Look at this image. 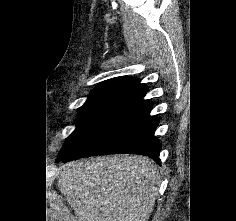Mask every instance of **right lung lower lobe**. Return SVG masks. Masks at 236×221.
Returning <instances> with one entry per match:
<instances>
[{
    "label": "right lung lower lobe",
    "mask_w": 236,
    "mask_h": 221,
    "mask_svg": "<svg viewBox=\"0 0 236 221\" xmlns=\"http://www.w3.org/2000/svg\"><path fill=\"white\" fill-rule=\"evenodd\" d=\"M146 92L136 95L77 148L57 161L66 163L102 154H139L159 162L161 144L154 137L158 119L149 115L152 102L143 100Z\"/></svg>",
    "instance_id": "98d812e1"
}]
</instances>
